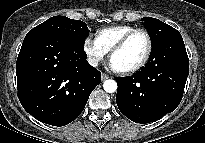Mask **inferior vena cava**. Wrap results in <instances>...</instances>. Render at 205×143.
Masks as SVG:
<instances>
[{
    "label": "inferior vena cava",
    "mask_w": 205,
    "mask_h": 143,
    "mask_svg": "<svg viewBox=\"0 0 205 143\" xmlns=\"http://www.w3.org/2000/svg\"><path fill=\"white\" fill-rule=\"evenodd\" d=\"M88 63L91 66L96 67V66H98V59H96L94 57H90V58H88Z\"/></svg>",
    "instance_id": "1"
}]
</instances>
